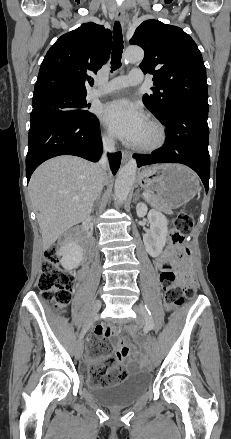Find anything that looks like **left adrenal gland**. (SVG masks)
<instances>
[{
  "instance_id": "left-adrenal-gland-1",
  "label": "left adrenal gland",
  "mask_w": 231,
  "mask_h": 439,
  "mask_svg": "<svg viewBox=\"0 0 231 439\" xmlns=\"http://www.w3.org/2000/svg\"><path fill=\"white\" fill-rule=\"evenodd\" d=\"M138 197H142V195L140 194V191H139V190H137L134 199L137 200Z\"/></svg>"
}]
</instances>
